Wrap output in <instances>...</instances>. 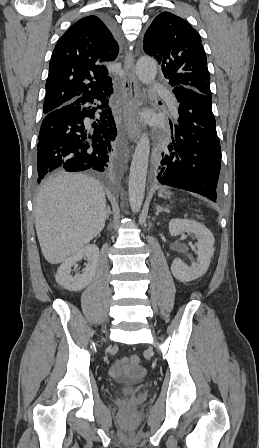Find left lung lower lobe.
<instances>
[{
    "label": "left lung lower lobe",
    "instance_id": "left-lung-lower-lobe-1",
    "mask_svg": "<svg viewBox=\"0 0 259 448\" xmlns=\"http://www.w3.org/2000/svg\"><path fill=\"white\" fill-rule=\"evenodd\" d=\"M173 92L179 102L175 136L155 168L156 182L198 193L213 201L220 187L221 149L212 97L183 85Z\"/></svg>",
    "mask_w": 259,
    "mask_h": 448
}]
</instances>
